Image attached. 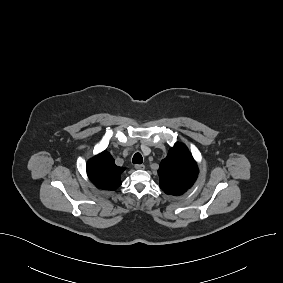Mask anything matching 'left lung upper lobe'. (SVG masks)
<instances>
[{
    "label": "left lung upper lobe",
    "mask_w": 283,
    "mask_h": 283,
    "mask_svg": "<svg viewBox=\"0 0 283 283\" xmlns=\"http://www.w3.org/2000/svg\"><path fill=\"white\" fill-rule=\"evenodd\" d=\"M160 187L171 195H181L195 182L198 167L187 147L177 142L161 161L159 167Z\"/></svg>",
    "instance_id": "5c2ea615"
}]
</instances>
